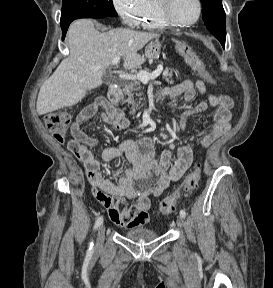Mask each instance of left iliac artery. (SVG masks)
Wrapping results in <instances>:
<instances>
[{"label":"left iliac artery","mask_w":273,"mask_h":288,"mask_svg":"<svg viewBox=\"0 0 273 288\" xmlns=\"http://www.w3.org/2000/svg\"><path fill=\"white\" fill-rule=\"evenodd\" d=\"M180 216L182 217V218H185V216H186V212H185V210H180Z\"/></svg>","instance_id":"44dca946"}]
</instances>
